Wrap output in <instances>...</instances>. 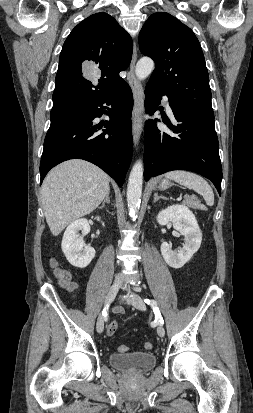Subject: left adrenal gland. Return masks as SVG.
Here are the masks:
<instances>
[{
  "instance_id": "left-adrenal-gland-1",
  "label": "left adrenal gland",
  "mask_w": 253,
  "mask_h": 413,
  "mask_svg": "<svg viewBox=\"0 0 253 413\" xmlns=\"http://www.w3.org/2000/svg\"><path fill=\"white\" fill-rule=\"evenodd\" d=\"M160 198L167 199L165 196H158V193H154V203H156Z\"/></svg>"
}]
</instances>
